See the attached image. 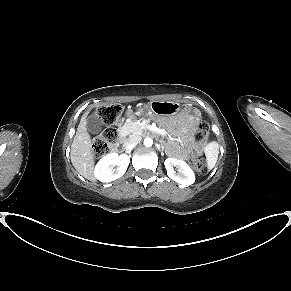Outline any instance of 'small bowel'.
Segmentation results:
<instances>
[{"label":"small bowel","instance_id":"obj_1","mask_svg":"<svg viewBox=\"0 0 291 291\" xmlns=\"http://www.w3.org/2000/svg\"><path fill=\"white\" fill-rule=\"evenodd\" d=\"M174 118L166 123L167 129L177 139L169 147L170 154L180 160H187L197 152L193 144L194 127L202 113L194 105H186L173 113Z\"/></svg>","mask_w":291,"mask_h":291}]
</instances>
